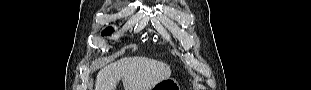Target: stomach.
<instances>
[{
  "mask_svg": "<svg viewBox=\"0 0 311 90\" xmlns=\"http://www.w3.org/2000/svg\"><path fill=\"white\" fill-rule=\"evenodd\" d=\"M153 90H180V86L176 79L168 78L156 84Z\"/></svg>",
  "mask_w": 311,
  "mask_h": 90,
  "instance_id": "1",
  "label": "stomach"
}]
</instances>
